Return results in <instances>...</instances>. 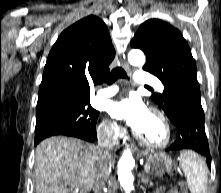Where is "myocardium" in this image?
Wrapping results in <instances>:
<instances>
[{
  "label": "myocardium",
  "instance_id": "f54148a6",
  "mask_svg": "<svg viewBox=\"0 0 221 193\" xmlns=\"http://www.w3.org/2000/svg\"><path fill=\"white\" fill-rule=\"evenodd\" d=\"M149 111L155 114L162 122L164 129H165L164 140L160 143H155V142H151L148 138H146L143 134L139 133L138 131L136 132V135L145 145L151 148H156V149L166 148L170 144L171 139H172V129H171L170 122L168 118L166 117V115L162 111H160L158 108L151 107Z\"/></svg>",
  "mask_w": 221,
  "mask_h": 193
}]
</instances>
